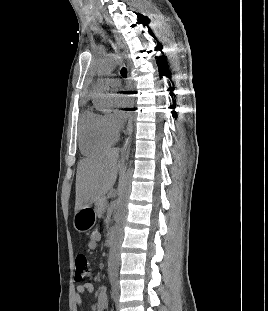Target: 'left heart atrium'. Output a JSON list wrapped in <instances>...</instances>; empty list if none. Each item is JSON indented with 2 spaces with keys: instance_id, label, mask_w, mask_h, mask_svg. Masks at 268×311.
Returning <instances> with one entry per match:
<instances>
[{
  "instance_id": "39dd6f15",
  "label": "left heart atrium",
  "mask_w": 268,
  "mask_h": 311,
  "mask_svg": "<svg viewBox=\"0 0 268 311\" xmlns=\"http://www.w3.org/2000/svg\"><path fill=\"white\" fill-rule=\"evenodd\" d=\"M114 97H127V95H125V94H114ZM129 104H130V102H128V101L127 102L120 101L117 103V106H127Z\"/></svg>"
}]
</instances>
